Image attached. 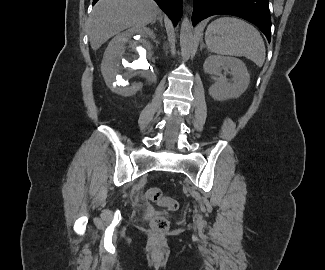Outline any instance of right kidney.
I'll list each match as a JSON object with an SVG mask.
<instances>
[{
    "instance_id": "obj_1",
    "label": "right kidney",
    "mask_w": 325,
    "mask_h": 270,
    "mask_svg": "<svg viewBox=\"0 0 325 270\" xmlns=\"http://www.w3.org/2000/svg\"><path fill=\"white\" fill-rule=\"evenodd\" d=\"M154 38V32L143 27L128 29L110 41L103 56L101 72L113 92L132 96L154 79V47L150 41ZM132 80L133 83L129 84Z\"/></svg>"
}]
</instances>
